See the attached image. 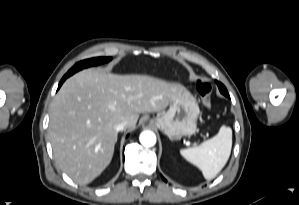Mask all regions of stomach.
<instances>
[{"mask_svg": "<svg viewBox=\"0 0 299 205\" xmlns=\"http://www.w3.org/2000/svg\"><path fill=\"white\" fill-rule=\"evenodd\" d=\"M199 113L195 97L183 87L171 99L169 109L150 123L171 139L189 136L196 132Z\"/></svg>", "mask_w": 299, "mask_h": 205, "instance_id": "0dacf381", "label": "stomach"}]
</instances>
